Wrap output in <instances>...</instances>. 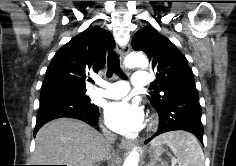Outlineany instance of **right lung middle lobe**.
Returning <instances> with one entry per match:
<instances>
[{
  "label": "right lung middle lobe",
  "mask_w": 236,
  "mask_h": 166,
  "mask_svg": "<svg viewBox=\"0 0 236 166\" xmlns=\"http://www.w3.org/2000/svg\"><path fill=\"white\" fill-rule=\"evenodd\" d=\"M86 89L70 86H54L43 88L41 92V108H53L57 106H81L84 108H98L90 102Z\"/></svg>",
  "instance_id": "1"
}]
</instances>
